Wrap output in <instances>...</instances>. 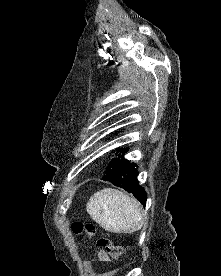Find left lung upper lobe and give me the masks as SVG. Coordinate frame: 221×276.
Listing matches in <instances>:
<instances>
[{
  "instance_id": "1",
  "label": "left lung upper lobe",
  "mask_w": 221,
  "mask_h": 276,
  "mask_svg": "<svg viewBox=\"0 0 221 276\" xmlns=\"http://www.w3.org/2000/svg\"><path fill=\"white\" fill-rule=\"evenodd\" d=\"M124 150H127V149H123V148H122V149H120V151H124Z\"/></svg>"
}]
</instances>
